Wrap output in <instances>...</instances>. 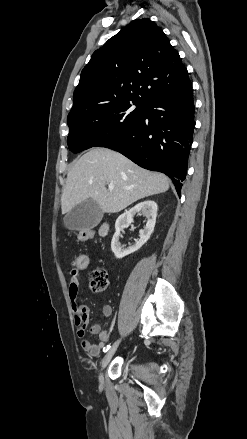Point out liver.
<instances>
[{
	"mask_svg": "<svg viewBox=\"0 0 247 439\" xmlns=\"http://www.w3.org/2000/svg\"><path fill=\"white\" fill-rule=\"evenodd\" d=\"M169 179L133 163L107 148H94L74 162L61 196L62 214L92 199L106 213H116L132 203L169 189ZM107 184L114 189L108 190Z\"/></svg>",
	"mask_w": 247,
	"mask_h": 439,
	"instance_id": "liver-1",
	"label": "liver"
}]
</instances>
